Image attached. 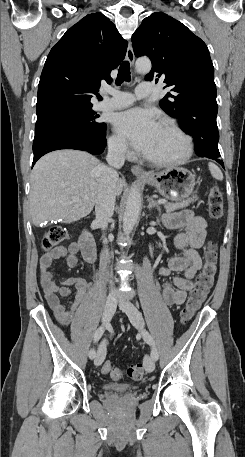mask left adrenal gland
Listing matches in <instances>:
<instances>
[{
  "mask_svg": "<svg viewBox=\"0 0 245 457\" xmlns=\"http://www.w3.org/2000/svg\"><path fill=\"white\" fill-rule=\"evenodd\" d=\"M147 200L149 202L147 208H149V210H151V208H154V206H155V208H157L158 214L160 216L161 208H160L159 204H157V202H155V200H154V198H152V196H149V198H147Z\"/></svg>",
  "mask_w": 245,
  "mask_h": 457,
  "instance_id": "left-adrenal-gland-1",
  "label": "left adrenal gland"
}]
</instances>
